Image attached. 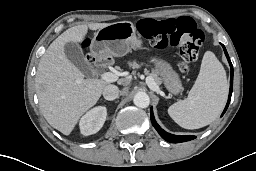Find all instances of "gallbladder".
Returning <instances> with one entry per match:
<instances>
[{"label":"gallbladder","instance_id":"bac80fb5","mask_svg":"<svg viewBox=\"0 0 256 171\" xmlns=\"http://www.w3.org/2000/svg\"><path fill=\"white\" fill-rule=\"evenodd\" d=\"M64 52L68 60L74 64L81 72L88 74L91 70V66L85 59L84 54L80 46L75 42H67L64 45Z\"/></svg>","mask_w":256,"mask_h":171}]
</instances>
